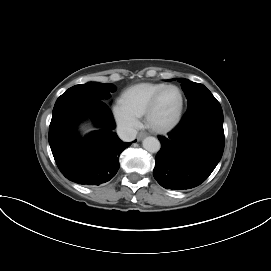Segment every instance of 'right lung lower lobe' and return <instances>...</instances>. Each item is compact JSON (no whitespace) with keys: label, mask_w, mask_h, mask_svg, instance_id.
I'll return each instance as SVG.
<instances>
[{"label":"right lung lower lobe","mask_w":271,"mask_h":271,"mask_svg":"<svg viewBox=\"0 0 271 271\" xmlns=\"http://www.w3.org/2000/svg\"><path fill=\"white\" fill-rule=\"evenodd\" d=\"M89 116L98 130L83 138L76 132L82 118ZM112 113L102 100L64 103L54 107L49 127V144L55 162L69 180L99 185L109 181L119 169L120 153L131 143L113 132Z\"/></svg>","instance_id":"1"}]
</instances>
